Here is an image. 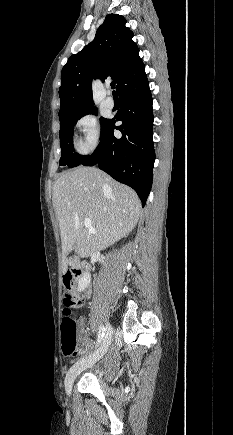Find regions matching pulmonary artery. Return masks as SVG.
Masks as SVG:
<instances>
[{"label": "pulmonary artery", "instance_id": "obj_1", "mask_svg": "<svg viewBox=\"0 0 233 435\" xmlns=\"http://www.w3.org/2000/svg\"><path fill=\"white\" fill-rule=\"evenodd\" d=\"M105 105H106L108 108H113V107L115 106V101H114V99L112 98V96L108 95V96L106 97Z\"/></svg>", "mask_w": 233, "mask_h": 435}]
</instances>
